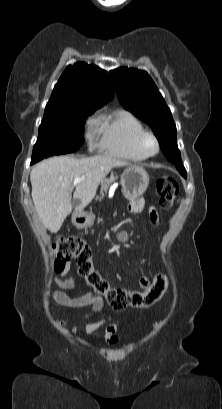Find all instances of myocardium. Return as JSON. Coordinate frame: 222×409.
I'll list each match as a JSON object with an SVG mask.
<instances>
[{"label":"myocardium","instance_id":"myocardium-1","mask_svg":"<svg viewBox=\"0 0 222 409\" xmlns=\"http://www.w3.org/2000/svg\"><path fill=\"white\" fill-rule=\"evenodd\" d=\"M148 141H152L153 149L148 150ZM137 147L139 151L146 157L155 156L160 150V143L157 136L151 131H143L137 139Z\"/></svg>","mask_w":222,"mask_h":409}]
</instances>
